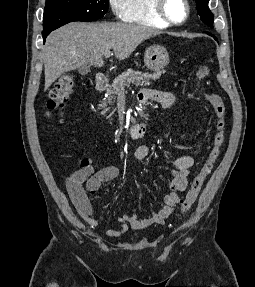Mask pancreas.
<instances>
[{"mask_svg":"<svg viewBox=\"0 0 255 287\" xmlns=\"http://www.w3.org/2000/svg\"><path fill=\"white\" fill-rule=\"evenodd\" d=\"M165 70L162 72H154V74H142V72H133V70H126L123 72L121 76L115 78L113 84L109 86L106 90V94L108 98L99 104V110L101 108H105L107 104H112V100H115L116 96L120 94V92H124L125 86H129V84H134V86H149L155 80H159L161 74H164ZM106 112V110H103Z\"/></svg>","mask_w":255,"mask_h":287,"instance_id":"obj_1","label":"pancreas"}]
</instances>
